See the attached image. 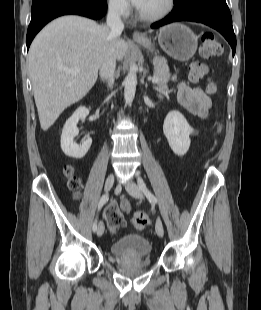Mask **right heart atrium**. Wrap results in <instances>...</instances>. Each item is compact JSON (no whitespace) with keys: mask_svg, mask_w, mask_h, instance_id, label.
Segmentation results:
<instances>
[{"mask_svg":"<svg viewBox=\"0 0 261 310\" xmlns=\"http://www.w3.org/2000/svg\"><path fill=\"white\" fill-rule=\"evenodd\" d=\"M109 12L121 19L129 17L131 9L127 0H106Z\"/></svg>","mask_w":261,"mask_h":310,"instance_id":"obj_1","label":"right heart atrium"}]
</instances>
